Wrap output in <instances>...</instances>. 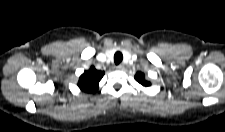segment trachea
<instances>
[{
  "mask_svg": "<svg viewBox=\"0 0 225 132\" xmlns=\"http://www.w3.org/2000/svg\"><path fill=\"white\" fill-rule=\"evenodd\" d=\"M123 60V55L121 52H116L115 55H114V62L116 65H118L119 63H121Z\"/></svg>",
  "mask_w": 225,
  "mask_h": 132,
  "instance_id": "obj_1",
  "label": "trachea"
}]
</instances>
